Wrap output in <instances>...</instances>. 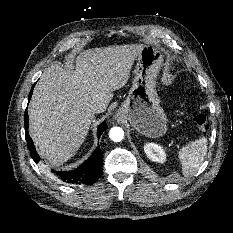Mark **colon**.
<instances>
[{
  "mask_svg": "<svg viewBox=\"0 0 233 233\" xmlns=\"http://www.w3.org/2000/svg\"><path fill=\"white\" fill-rule=\"evenodd\" d=\"M189 114L193 122L195 123L197 129L201 133L205 134L208 130V120L206 114L201 111H195V110H189Z\"/></svg>",
  "mask_w": 233,
  "mask_h": 233,
  "instance_id": "1",
  "label": "colon"
}]
</instances>
